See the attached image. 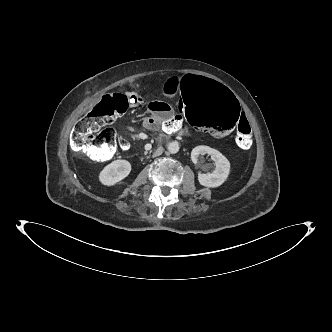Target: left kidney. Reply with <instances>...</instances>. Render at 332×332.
Listing matches in <instances>:
<instances>
[{
	"label": "left kidney",
	"mask_w": 332,
	"mask_h": 332,
	"mask_svg": "<svg viewBox=\"0 0 332 332\" xmlns=\"http://www.w3.org/2000/svg\"><path fill=\"white\" fill-rule=\"evenodd\" d=\"M208 154L210 159L214 162L215 169L211 173L198 174V181L202 186L215 188L222 185L230 173V162L218 150L210 148L209 146L200 145L193 148L191 152V160L194 164L199 165L203 170L209 167L204 165L203 160L199 158L201 155Z\"/></svg>",
	"instance_id": "obj_1"
}]
</instances>
